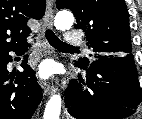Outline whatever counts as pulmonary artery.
Masks as SVG:
<instances>
[{
	"label": "pulmonary artery",
	"instance_id": "1",
	"mask_svg": "<svg viewBox=\"0 0 142 119\" xmlns=\"http://www.w3.org/2000/svg\"><path fill=\"white\" fill-rule=\"evenodd\" d=\"M65 43L68 45H81L82 36L78 31H68L65 36Z\"/></svg>",
	"mask_w": 142,
	"mask_h": 119
}]
</instances>
